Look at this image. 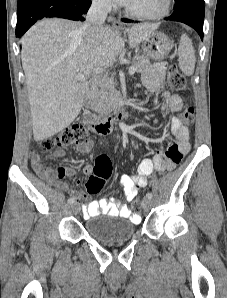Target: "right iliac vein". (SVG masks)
<instances>
[{"mask_svg":"<svg viewBox=\"0 0 227 298\" xmlns=\"http://www.w3.org/2000/svg\"><path fill=\"white\" fill-rule=\"evenodd\" d=\"M71 210H72L73 214H78L81 210V207L79 204H72Z\"/></svg>","mask_w":227,"mask_h":298,"instance_id":"obj_1","label":"right iliac vein"}]
</instances>
